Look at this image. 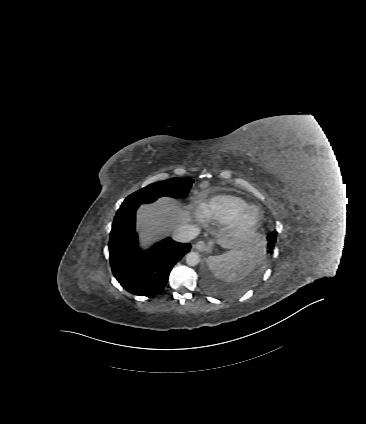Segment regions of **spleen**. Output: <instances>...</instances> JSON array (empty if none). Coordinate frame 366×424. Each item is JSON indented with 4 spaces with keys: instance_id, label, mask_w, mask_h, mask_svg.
<instances>
[{
    "instance_id": "1",
    "label": "spleen",
    "mask_w": 366,
    "mask_h": 424,
    "mask_svg": "<svg viewBox=\"0 0 366 424\" xmlns=\"http://www.w3.org/2000/svg\"><path fill=\"white\" fill-rule=\"evenodd\" d=\"M259 245H249L241 250L226 252L208 259V266L215 276L235 282L250 273L260 259Z\"/></svg>"
}]
</instances>
